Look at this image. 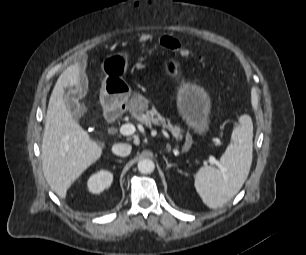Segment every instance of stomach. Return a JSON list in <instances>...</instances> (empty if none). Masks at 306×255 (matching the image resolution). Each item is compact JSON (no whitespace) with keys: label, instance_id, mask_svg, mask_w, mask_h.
<instances>
[{"label":"stomach","instance_id":"stomach-1","mask_svg":"<svg viewBox=\"0 0 306 255\" xmlns=\"http://www.w3.org/2000/svg\"><path fill=\"white\" fill-rule=\"evenodd\" d=\"M129 54L120 52L109 55L102 63L106 77L100 89V103L104 111L120 108L130 95V87L122 74L128 68ZM161 73L168 85L178 90V109L188 125L200 134L208 130L210 104L204 91L190 84L189 73L178 59H167Z\"/></svg>","mask_w":306,"mask_h":255}]
</instances>
